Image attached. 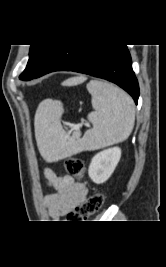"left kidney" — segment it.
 I'll list each match as a JSON object with an SVG mask.
<instances>
[{
	"mask_svg": "<svg viewBox=\"0 0 166 267\" xmlns=\"http://www.w3.org/2000/svg\"><path fill=\"white\" fill-rule=\"evenodd\" d=\"M121 157V149L113 147L97 153L91 160L88 174L93 182L101 184L114 172Z\"/></svg>",
	"mask_w": 166,
	"mask_h": 267,
	"instance_id": "1",
	"label": "left kidney"
}]
</instances>
